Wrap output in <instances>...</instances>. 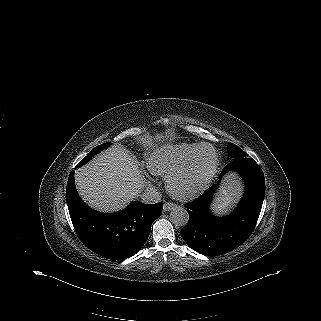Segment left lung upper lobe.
Segmentation results:
<instances>
[{
	"label": "left lung upper lobe",
	"mask_w": 321,
	"mask_h": 321,
	"mask_svg": "<svg viewBox=\"0 0 321 321\" xmlns=\"http://www.w3.org/2000/svg\"><path fill=\"white\" fill-rule=\"evenodd\" d=\"M227 152L231 160L247 156V154L242 149H240L238 146L234 145L233 143H229L227 147Z\"/></svg>",
	"instance_id": "left-lung-upper-lobe-1"
}]
</instances>
